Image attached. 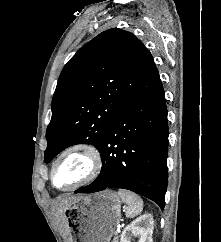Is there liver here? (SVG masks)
Wrapping results in <instances>:
<instances>
[{
  "label": "liver",
  "instance_id": "1",
  "mask_svg": "<svg viewBox=\"0 0 221 242\" xmlns=\"http://www.w3.org/2000/svg\"><path fill=\"white\" fill-rule=\"evenodd\" d=\"M75 198H65V199H61L57 204H56V209L57 212L59 214V216L61 218L64 219L63 216V212L65 210V208L69 205L70 202H72V200H74Z\"/></svg>",
  "mask_w": 221,
  "mask_h": 242
}]
</instances>
